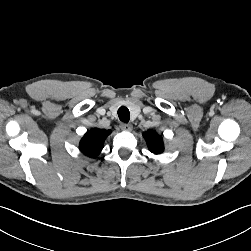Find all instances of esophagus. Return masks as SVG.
Returning <instances> with one entry per match:
<instances>
[{
	"mask_svg": "<svg viewBox=\"0 0 251 251\" xmlns=\"http://www.w3.org/2000/svg\"><path fill=\"white\" fill-rule=\"evenodd\" d=\"M120 128L124 131H131L132 130V125L131 124H126V123H121Z\"/></svg>",
	"mask_w": 251,
	"mask_h": 251,
	"instance_id": "1",
	"label": "esophagus"
}]
</instances>
